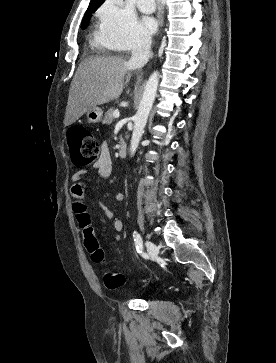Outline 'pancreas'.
I'll list each match as a JSON object with an SVG mask.
<instances>
[{
  "instance_id": "pancreas-1",
  "label": "pancreas",
  "mask_w": 276,
  "mask_h": 363,
  "mask_svg": "<svg viewBox=\"0 0 276 363\" xmlns=\"http://www.w3.org/2000/svg\"><path fill=\"white\" fill-rule=\"evenodd\" d=\"M113 112H115V109L114 108H110L106 113H105V116H104V119L102 121L103 124H111L113 122Z\"/></svg>"
}]
</instances>
